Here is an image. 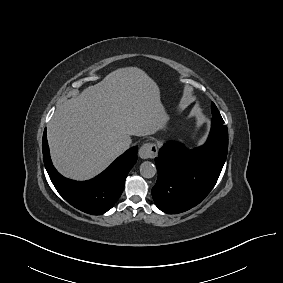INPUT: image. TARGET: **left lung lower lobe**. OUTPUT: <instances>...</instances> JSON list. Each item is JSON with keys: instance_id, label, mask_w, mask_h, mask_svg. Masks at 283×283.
<instances>
[{"instance_id": "0a47b994", "label": "left lung lower lobe", "mask_w": 283, "mask_h": 283, "mask_svg": "<svg viewBox=\"0 0 283 283\" xmlns=\"http://www.w3.org/2000/svg\"><path fill=\"white\" fill-rule=\"evenodd\" d=\"M227 151V127L214 118L203 146L189 151L178 143L164 144L155 158L158 179L152 196L156 206L177 214L199 204L216 184Z\"/></svg>"}]
</instances>
